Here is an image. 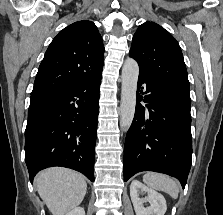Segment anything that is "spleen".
<instances>
[{"mask_svg": "<svg viewBox=\"0 0 223 215\" xmlns=\"http://www.w3.org/2000/svg\"><path fill=\"white\" fill-rule=\"evenodd\" d=\"M144 183H147L149 187L153 189H161V191H167L171 197H178L180 191V185L169 177V175H164V173H154V171H148L143 175Z\"/></svg>", "mask_w": 223, "mask_h": 215, "instance_id": "spleen-1", "label": "spleen"}]
</instances>
